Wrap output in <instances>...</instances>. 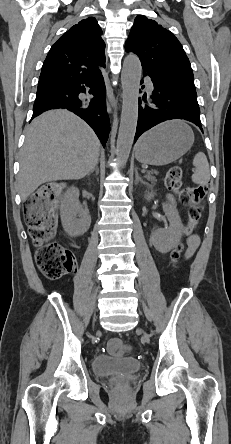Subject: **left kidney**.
<instances>
[{"instance_id": "1", "label": "left kidney", "mask_w": 231, "mask_h": 444, "mask_svg": "<svg viewBox=\"0 0 231 444\" xmlns=\"http://www.w3.org/2000/svg\"><path fill=\"white\" fill-rule=\"evenodd\" d=\"M154 197L153 193L145 196L147 201ZM163 209L168 217L170 226L160 229L152 234L151 240L155 249L161 253H167L178 245L184 233V227L175 206L164 203Z\"/></svg>"}]
</instances>
